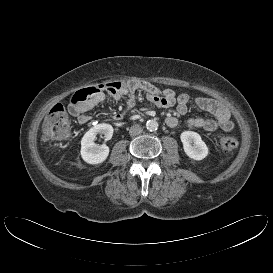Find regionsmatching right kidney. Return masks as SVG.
Listing matches in <instances>:
<instances>
[{
	"mask_svg": "<svg viewBox=\"0 0 273 273\" xmlns=\"http://www.w3.org/2000/svg\"><path fill=\"white\" fill-rule=\"evenodd\" d=\"M113 127L110 124L101 123L87 131L81 140V157L89 164H99L104 162L109 155V147L106 144L97 145L94 140L96 135L104 134L105 141L113 136Z\"/></svg>",
	"mask_w": 273,
	"mask_h": 273,
	"instance_id": "1",
	"label": "right kidney"
}]
</instances>
